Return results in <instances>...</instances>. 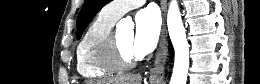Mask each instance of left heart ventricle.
<instances>
[{
	"instance_id": "1",
	"label": "left heart ventricle",
	"mask_w": 260,
	"mask_h": 84,
	"mask_svg": "<svg viewBox=\"0 0 260 84\" xmlns=\"http://www.w3.org/2000/svg\"><path fill=\"white\" fill-rule=\"evenodd\" d=\"M115 37L117 39L120 49L126 56H135L132 47L134 39L132 33H118L115 35Z\"/></svg>"
}]
</instances>
